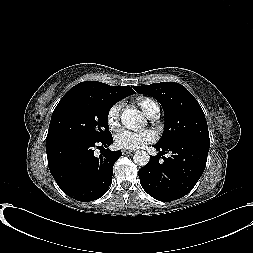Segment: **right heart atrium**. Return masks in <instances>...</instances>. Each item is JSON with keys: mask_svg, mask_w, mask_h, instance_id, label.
I'll return each mask as SVG.
<instances>
[{"mask_svg": "<svg viewBox=\"0 0 253 253\" xmlns=\"http://www.w3.org/2000/svg\"><path fill=\"white\" fill-rule=\"evenodd\" d=\"M122 106L123 104L121 102H117L108 110L107 122L111 129H114L119 125Z\"/></svg>", "mask_w": 253, "mask_h": 253, "instance_id": "obj_1", "label": "right heart atrium"}]
</instances>
